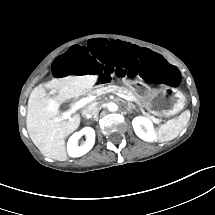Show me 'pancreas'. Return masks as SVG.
Segmentation results:
<instances>
[{"mask_svg":"<svg viewBox=\"0 0 215 215\" xmlns=\"http://www.w3.org/2000/svg\"><path fill=\"white\" fill-rule=\"evenodd\" d=\"M114 90V91H117V92H120V93H123V94H128L130 93L131 96H133V94L131 92L128 91L127 88H124V87H119V86H116V85H113V84H108L107 86H104V85H96L94 86L90 91H89V94L90 95H95V96H100V95H103L107 92V90ZM136 103H138V100L136 99L135 100ZM128 105L131 106L132 108H135V105L132 103V101H128ZM142 112L144 113V111L142 110ZM157 123H160V119H157L155 117H152Z\"/></svg>","mask_w":215,"mask_h":215,"instance_id":"pancreas-1","label":"pancreas"}]
</instances>
